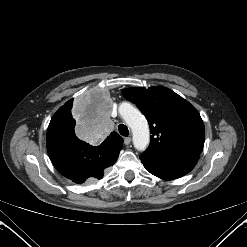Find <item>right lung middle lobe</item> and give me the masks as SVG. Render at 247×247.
Instances as JSON below:
<instances>
[{"instance_id": "obj_1", "label": "right lung middle lobe", "mask_w": 247, "mask_h": 247, "mask_svg": "<svg viewBox=\"0 0 247 247\" xmlns=\"http://www.w3.org/2000/svg\"><path fill=\"white\" fill-rule=\"evenodd\" d=\"M72 106L69 110L61 113L56 118V125L57 126H63L66 128H69L71 130H74V127L76 125V121L74 119V115L72 116Z\"/></svg>"}]
</instances>
